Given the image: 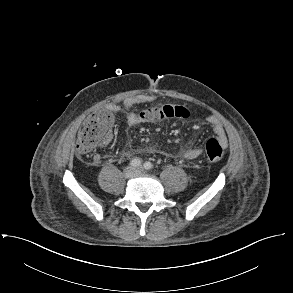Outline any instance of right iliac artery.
<instances>
[{
    "mask_svg": "<svg viewBox=\"0 0 293 293\" xmlns=\"http://www.w3.org/2000/svg\"><path fill=\"white\" fill-rule=\"evenodd\" d=\"M142 164V160L139 158H134L130 161V165L133 167H138Z\"/></svg>",
    "mask_w": 293,
    "mask_h": 293,
    "instance_id": "right-iliac-artery-1",
    "label": "right iliac artery"
}]
</instances>
